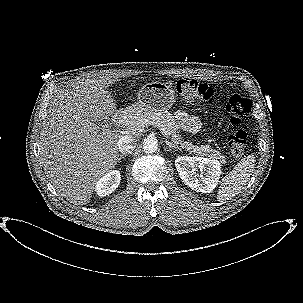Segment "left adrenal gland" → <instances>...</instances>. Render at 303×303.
<instances>
[{
	"label": "left adrenal gland",
	"instance_id": "obj_1",
	"mask_svg": "<svg viewBox=\"0 0 303 303\" xmlns=\"http://www.w3.org/2000/svg\"><path fill=\"white\" fill-rule=\"evenodd\" d=\"M165 143L170 150L171 149L181 150L177 145L173 144L172 142L168 141L167 139L165 140Z\"/></svg>",
	"mask_w": 303,
	"mask_h": 303
}]
</instances>
